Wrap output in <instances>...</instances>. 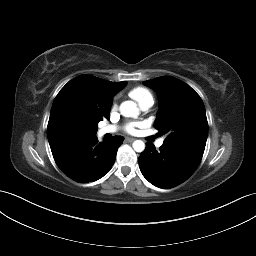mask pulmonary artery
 <instances>
[{
    "instance_id": "obj_1",
    "label": "pulmonary artery",
    "mask_w": 256,
    "mask_h": 256,
    "mask_svg": "<svg viewBox=\"0 0 256 256\" xmlns=\"http://www.w3.org/2000/svg\"><path fill=\"white\" fill-rule=\"evenodd\" d=\"M152 106V104H144L141 106V109L143 111H147L150 107ZM117 131V127L116 126H112V125H109V126H103L99 129V133L101 135H104V134H107V133H113ZM164 143V140L163 139H159L156 143V146L157 147H161Z\"/></svg>"
}]
</instances>
